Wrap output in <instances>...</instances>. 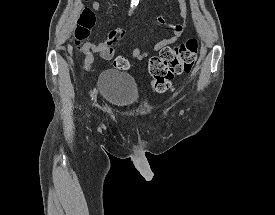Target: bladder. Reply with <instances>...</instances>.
Returning <instances> with one entry per match:
<instances>
[{
    "label": "bladder",
    "instance_id": "obj_1",
    "mask_svg": "<svg viewBox=\"0 0 275 215\" xmlns=\"http://www.w3.org/2000/svg\"><path fill=\"white\" fill-rule=\"evenodd\" d=\"M98 88L103 98L116 107H129L138 98V90L134 79L115 70H104L100 73Z\"/></svg>",
    "mask_w": 275,
    "mask_h": 215
}]
</instances>
